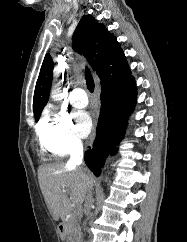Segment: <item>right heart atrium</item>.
<instances>
[{
    "instance_id": "obj_1",
    "label": "right heart atrium",
    "mask_w": 187,
    "mask_h": 242,
    "mask_svg": "<svg viewBox=\"0 0 187 242\" xmlns=\"http://www.w3.org/2000/svg\"><path fill=\"white\" fill-rule=\"evenodd\" d=\"M38 135L45 150L56 156H66L81 149L72 118L64 112L47 109L40 121Z\"/></svg>"
}]
</instances>
